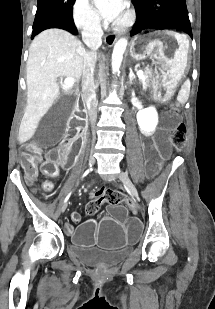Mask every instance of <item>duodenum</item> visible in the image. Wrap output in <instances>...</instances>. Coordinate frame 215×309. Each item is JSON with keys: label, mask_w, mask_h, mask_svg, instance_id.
Returning a JSON list of instances; mask_svg holds the SVG:
<instances>
[{"label": "duodenum", "mask_w": 215, "mask_h": 309, "mask_svg": "<svg viewBox=\"0 0 215 309\" xmlns=\"http://www.w3.org/2000/svg\"><path fill=\"white\" fill-rule=\"evenodd\" d=\"M74 133H75V134H80V130L77 129V128H75V129H74Z\"/></svg>", "instance_id": "obj_1"}]
</instances>
